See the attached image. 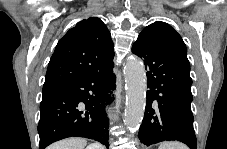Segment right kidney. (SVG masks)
Wrapping results in <instances>:
<instances>
[{
  "label": "right kidney",
  "mask_w": 227,
  "mask_h": 149,
  "mask_svg": "<svg viewBox=\"0 0 227 149\" xmlns=\"http://www.w3.org/2000/svg\"><path fill=\"white\" fill-rule=\"evenodd\" d=\"M86 149H99V145L98 144H90V145H88V147Z\"/></svg>",
  "instance_id": "right-kidney-1"
}]
</instances>
